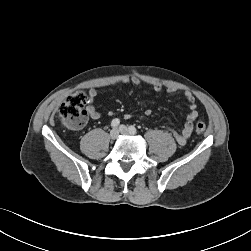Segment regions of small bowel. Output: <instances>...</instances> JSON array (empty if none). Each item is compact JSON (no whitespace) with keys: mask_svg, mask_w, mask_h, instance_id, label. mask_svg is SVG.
I'll list each match as a JSON object with an SVG mask.
<instances>
[{"mask_svg":"<svg viewBox=\"0 0 251 251\" xmlns=\"http://www.w3.org/2000/svg\"><path fill=\"white\" fill-rule=\"evenodd\" d=\"M141 82L142 81L136 76H125L121 79L122 84H133L135 86L140 85ZM152 88L155 92H160L162 90V86L158 83L153 84ZM167 92L168 93H175V92H177V89L173 88V87H169V88H167ZM97 94H98L97 90L94 88H91L88 91V106L86 108V111H87V115L93 120H98L101 116L100 112L93 105V102L95 101V99L97 97ZM184 96H185L187 102L189 103L190 111H189L188 115L186 116L183 128L180 132H177L173 129H169L170 132L175 137L178 144H180V145H185L187 143V141L193 131L194 121L198 117V110H197V104H196L195 97L189 91H186L184 93ZM151 113H152L151 109H147L145 111L146 116H150ZM130 117H132V115H130V114L125 115V118H130Z\"/></svg>","mask_w":251,"mask_h":251,"instance_id":"small-bowel-1","label":"small bowel"}]
</instances>
